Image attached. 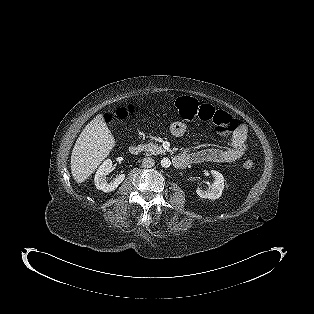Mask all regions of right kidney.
Wrapping results in <instances>:
<instances>
[{
  "instance_id": "ca27d5eb",
  "label": "right kidney",
  "mask_w": 314,
  "mask_h": 314,
  "mask_svg": "<svg viewBox=\"0 0 314 314\" xmlns=\"http://www.w3.org/2000/svg\"><path fill=\"white\" fill-rule=\"evenodd\" d=\"M111 168L112 161L110 159L105 160L98 168L94 178L96 188L106 193L114 191L125 179V174H119L108 183L106 176L111 172Z\"/></svg>"
}]
</instances>
